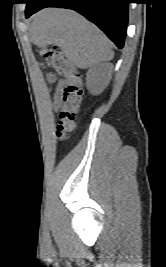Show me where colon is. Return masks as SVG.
I'll return each instance as SVG.
<instances>
[{
  "mask_svg": "<svg viewBox=\"0 0 166 267\" xmlns=\"http://www.w3.org/2000/svg\"><path fill=\"white\" fill-rule=\"evenodd\" d=\"M42 56L46 65L64 78L65 86L58 113L56 137L59 141H65L75 129V121L83 100L82 74L57 47L42 50ZM54 78L53 74L48 76L49 81H53Z\"/></svg>",
  "mask_w": 166,
  "mask_h": 267,
  "instance_id": "obj_1",
  "label": "colon"
}]
</instances>
